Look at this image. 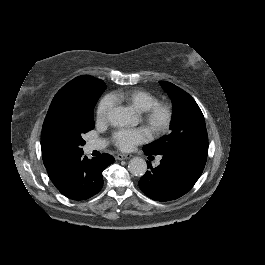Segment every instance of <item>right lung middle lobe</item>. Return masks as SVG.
<instances>
[{
	"label": "right lung middle lobe",
	"mask_w": 265,
	"mask_h": 265,
	"mask_svg": "<svg viewBox=\"0 0 265 265\" xmlns=\"http://www.w3.org/2000/svg\"><path fill=\"white\" fill-rule=\"evenodd\" d=\"M106 89L102 80L76 85L65 95L51 118L45 142L51 154L70 160L83 154L82 135L94 128L93 109Z\"/></svg>",
	"instance_id": "1"
}]
</instances>
